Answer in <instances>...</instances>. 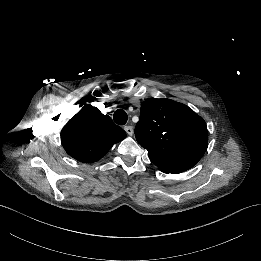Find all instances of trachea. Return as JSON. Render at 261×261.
<instances>
[{
    "label": "trachea",
    "instance_id": "obj_1",
    "mask_svg": "<svg viewBox=\"0 0 261 261\" xmlns=\"http://www.w3.org/2000/svg\"><path fill=\"white\" fill-rule=\"evenodd\" d=\"M113 119H114L115 123L122 126V125L126 124V122L128 120V115L124 110L118 109L115 111V113L113 115Z\"/></svg>",
    "mask_w": 261,
    "mask_h": 261
}]
</instances>
